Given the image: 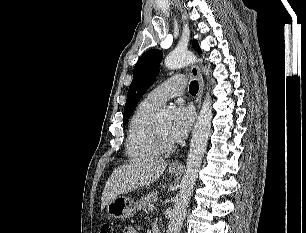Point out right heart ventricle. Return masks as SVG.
I'll use <instances>...</instances> for the list:
<instances>
[{
	"label": "right heart ventricle",
	"instance_id": "1",
	"mask_svg": "<svg viewBox=\"0 0 306 233\" xmlns=\"http://www.w3.org/2000/svg\"><path fill=\"white\" fill-rule=\"evenodd\" d=\"M158 107L143 100L133 113L127 131L125 152L132 161H146L159 156L153 139V119Z\"/></svg>",
	"mask_w": 306,
	"mask_h": 233
}]
</instances>
